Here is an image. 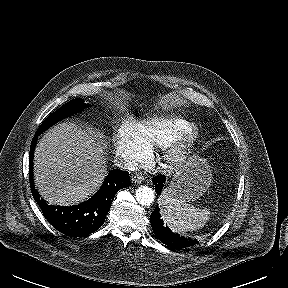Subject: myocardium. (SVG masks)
<instances>
[{"instance_id":"f54148a6","label":"myocardium","mask_w":288,"mask_h":288,"mask_svg":"<svg viewBox=\"0 0 288 288\" xmlns=\"http://www.w3.org/2000/svg\"><path fill=\"white\" fill-rule=\"evenodd\" d=\"M200 138L201 130L196 124H190L172 138L165 146L164 160L167 166L173 170L182 168L194 156Z\"/></svg>"}]
</instances>
